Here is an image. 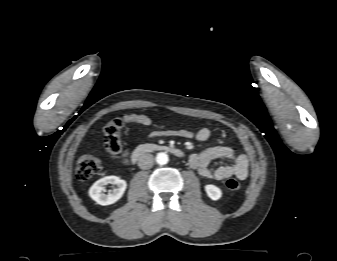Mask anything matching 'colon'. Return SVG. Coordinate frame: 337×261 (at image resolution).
<instances>
[{
    "mask_svg": "<svg viewBox=\"0 0 337 261\" xmlns=\"http://www.w3.org/2000/svg\"><path fill=\"white\" fill-rule=\"evenodd\" d=\"M124 125V120L120 117L110 120L104 128V142L107 153L111 158H117L122 151L120 131ZM102 170V161L97 156L91 154L81 155L76 163V176L79 180L85 181ZM229 190H238L240 183L235 178H230L225 182Z\"/></svg>",
    "mask_w": 337,
    "mask_h": 261,
    "instance_id": "5ec220e1",
    "label": "colon"
}]
</instances>
